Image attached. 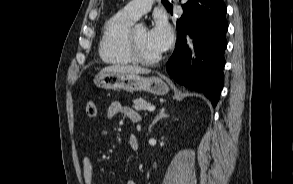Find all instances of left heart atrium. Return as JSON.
Instances as JSON below:
<instances>
[{
	"mask_svg": "<svg viewBox=\"0 0 293 184\" xmlns=\"http://www.w3.org/2000/svg\"><path fill=\"white\" fill-rule=\"evenodd\" d=\"M148 39L157 52L166 51L173 39V32L167 21L162 19L156 21L154 26L148 30Z\"/></svg>",
	"mask_w": 293,
	"mask_h": 184,
	"instance_id": "obj_1",
	"label": "left heart atrium"
}]
</instances>
